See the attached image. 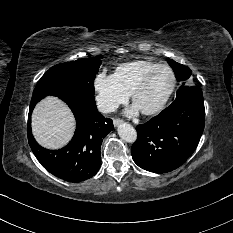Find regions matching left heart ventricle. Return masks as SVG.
I'll return each instance as SVG.
<instances>
[{"mask_svg":"<svg viewBox=\"0 0 233 233\" xmlns=\"http://www.w3.org/2000/svg\"><path fill=\"white\" fill-rule=\"evenodd\" d=\"M172 75L167 69H160L153 74L146 87L136 96L134 104L140 111L156 107L169 91Z\"/></svg>","mask_w":233,"mask_h":233,"instance_id":"left-heart-ventricle-1","label":"left heart ventricle"}]
</instances>
